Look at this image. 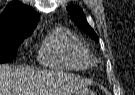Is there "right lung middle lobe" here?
Segmentation results:
<instances>
[{"mask_svg": "<svg viewBox=\"0 0 135 95\" xmlns=\"http://www.w3.org/2000/svg\"><path fill=\"white\" fill-rule=\"evenodd\" d=\"M31 33V31H18L0 35V63L12 61L17 55L19 44Z\"/></svg>", "mask_w": 135, "mask_h": 95, "instance_id": "obj_1", "label": "right lung middle lobe"}]
</instances>
